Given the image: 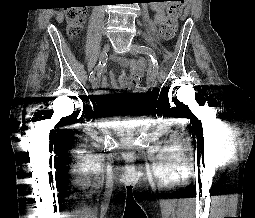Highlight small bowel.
<instances>
[{
	"label": "small bowel",
	"instance_id": "small-bowel-1",
	"mask_svg": "<svg viewBox=\"0 0 255 218\" xmlns=\"http://www.w3.org/2000/svg\"><path fill=\"white\" fill-rule=\"evenodd\" d=\"M151 9L154 11V22L156 24L160 23L165 16V5L162 3V0L155 1L151 4ZM115 61L119 63L124 68H129L131 71L130 77H127L125 72L123 71L120 74L119 81L117 82L112 74L111 86L114 89H131L135 87L143 78L144 75V60H133L127 59L125 57H115ZM102 87H108V81L104 77L102 80ZM102 100V105H106L109 103L111 98L110 94L107 92H101L99 94Z\"/></svg>",
	"mask_w": 255,
	"mask_h": 218
}]
</instances>
